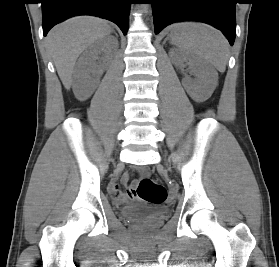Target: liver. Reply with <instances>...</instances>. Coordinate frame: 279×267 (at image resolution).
I'll return each mask as SVG.
<instances>
[{
  "label": "liver",
  "mask_w": 279,
  "mask_h": 267,
  "mask_svg": "<svg viewBox=\"0 0 279 267\" xmlns=\"http://www.w3.org/2000/svg\"><path fill=\"white\" fill-rule=\"evenodd\" d=\"M111 31L107 21L91 16L68 19L50 30L46 37L47 47L66 89L71 87L73 69L79 55Z\"/></svg>",
  "instance_id": "liver-1"
}]
</instances>
